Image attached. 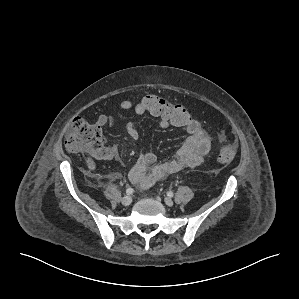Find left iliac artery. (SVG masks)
<instances>
[{
	"instance_id": "left-iliac-artery-1",
	"label": "left iliac artery",
	"mask_w": 299,
	"mask_h": 299,
	"mask_svg": "<svg viewBox=\"0 0 299 299\" xmlns=\"http://www.w3.org/2000/svg\"><path fill=\"white\" fill-rule=\"evenodd\" d=\"M167 195L169 196V197H173V192L172 191H169V192H167Z\"/></svg>"
}]
</instances>
